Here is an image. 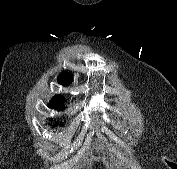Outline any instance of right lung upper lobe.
<instances>
[{"label": "right lung upper lobe", "instance_id": "obj_1", "mask_svg": "<svg viewBox=\"0 0 177 169\" xmlns=\"http://www.w3.org/2000/svg\"><path fill=\"white\" fill-rule=\"evenodd\" d=\"M72 80H73L72 75L66 72H63L58 76V82L63 86L69 85L72 82ZM63 102L64 98L61 95H57L51 100L50 107L51 108L58 107L60 105H63Z\"/></svg>", "mask_w": 177, "mask_h": 169}]
</instances>
